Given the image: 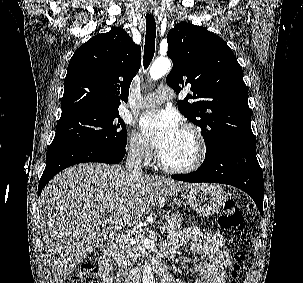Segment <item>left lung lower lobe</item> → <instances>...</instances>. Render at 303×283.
<instances>
[{"instance_id": "0a47b994", "label": "left lung lower lobe", "mask_w": 303, "mask_h": 283, "mask_svg": "<svg viewBox=\"0 0 303 283\" xmlns=\"http://www.w3.org/2000/svg\"><path fill=\"white\" fill-rule=\"evenodd\" d=\"M173 179L201 183H223L235 186L251 196L263 215L264 181L256 158L255 138H233L219 146L200 168Z\"/></svg>"}]
</instances>
